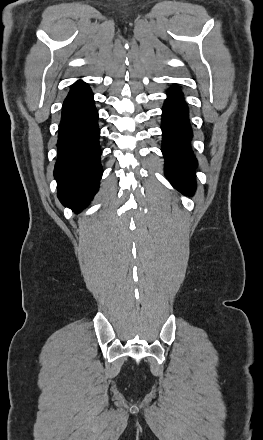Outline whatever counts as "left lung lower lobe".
<instances>
[{"mask_svg":"<svg viewBox=\"0 0 263 440\" xmlns=\"http://www.w3.org/2000/svg\"><path fill=\"white\" fill-rule=\"evenodd\" d=\"M188 117V107L181 90L177 86L171 87L162 112V153L166 177L185 195L195 191L194 169L197 166L190 147L192 129Z\"/></svg>","mask_w":263,"mask_h":440,"instance_id":"left-lung-lower-lobe-1","label":"left lung lower lobe"}]
</instances>
